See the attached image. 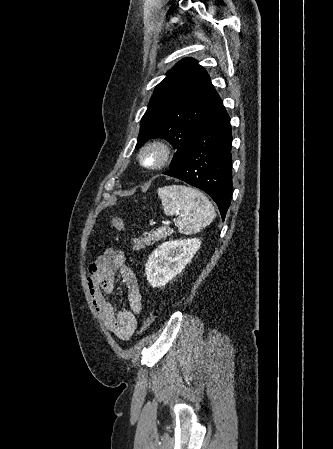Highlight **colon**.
Returning <instances> with one entry per match:
<instances>
[{
  "label": "colon",
  "mask_w": 333,
  "mask_h": 449,
  "mask_svg": "<svg viewBox=\"0 0 333 449\" xmlns=\"http://www.w3.org/2000/svg\"><path fill=\"white\" fill-rule=\"evenodd\" d=\"M111 221H112V226L114 227L115 230H117V231H123L124 230V227H125L124 221L120 217L113 216ZM157 316H158V312L155 309L151 310L147 314V316L145 317V319L143 321V325H142V329H141L142 332L147 331L148 329H150L154 325V323H155V321L157 319Z\"/></svg>",
  "instance_id": "obj_1"
}]
</instances>
